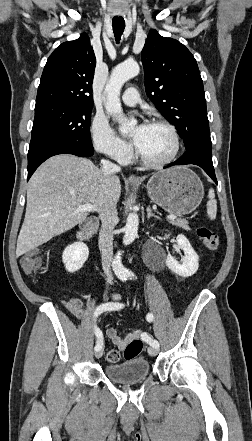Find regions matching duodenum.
<instances>
[{"mask_svg": "<svg viewBox=\"0 0 252 441\" xmlns=\"http://www.w3.org/2000/svg\"><path fill=\"white\" fill-rule=\"evenodd\" d=\"M98 228L99 220L97 218L88 219L78 231L77 239L81 242L87 241Z\"/></svg>", "mask_w": 252, "mask_h": 441, "instance_id": "obj_1", "label": "duodenum"}]
</instances>
